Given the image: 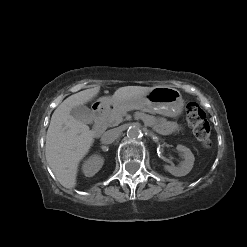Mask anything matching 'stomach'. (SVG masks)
Instances as JSON below:
<instances>
[{
  "label": "stomach",
  "mask_w": 247,
  "mask_h": 247,
  "mask_svg": "<svg viewBox=\"0 0 247 247\" xmlns=\"http://www.w3.org/2000/svg\"><path fill=\"white\" fill-rule=\"evenodd\" d=\"M98 103L101 107H117L125 103H136L146 106L149 110L168 117H178L184 109V100L180 91L170 86H158L146 95L131 101H117L112 98H100Z\"/></svg>",
  "instance_id": "0dacf381"
}]
</instances>
